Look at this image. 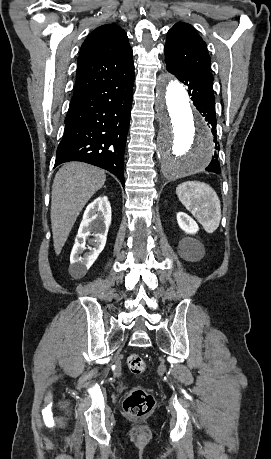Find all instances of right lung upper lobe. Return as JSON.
I'll list each match as a JSON object with an SVG mask.
<instances>
[{
	"mask_svg": "<svg viewBox=\"0 0 271 459\" xmlns=\"http://www.w3.org/2000/svg\"><path fill=\"white\" fill-rule=\"evenodd\" d=\"M132 54L127 35L120 26L105 24L96 28L82 44L71 102L120 76L134 73Z\"/></svg>",
	"mask_w": 271,
	"mask_h": 459,
	"instance_id": "1",
	"label": "right lung upper lobe"
}]
</instances>
